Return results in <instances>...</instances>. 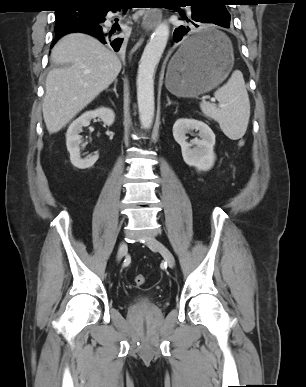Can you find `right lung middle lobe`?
<instances>
[{
  "instance_id": "right-lung-middle-lobe-1",
  "label": "right lung middle lobe",
  "mask_w": 306,
  "mask_h": 387,
  "mask_svg": "<svg viewBox=\"0 0 306 387\" xmlns=\"http://www.w3.org/2000/svg\"><path fill=\"white\" fill-rule=\"evenodd\" d=\"M97 8L86 7L80 10L63 8L56 11L55 32L64 30L76 24L85 23Z\"/></svg>"
}]
</instances>
